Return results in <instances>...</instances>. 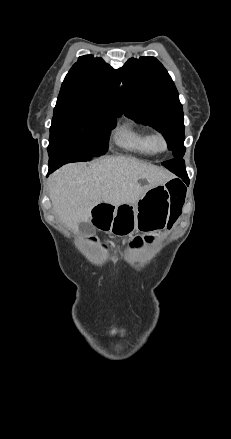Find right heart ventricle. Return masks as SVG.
<instances>
[{"label":"right heart ventricle","instance_id":"right-heart-ventricle-1","mask_svg":"<svg viewBox=\"0 0 231 439\" xmlns=\"http://www.w3.org/2000/svg\"><path fill=\"white\" fill-rule=\"evenodd\" d=\"M153 136V132L146 127L126 125L119 130L117 142L126 150L142 155H153L157 151Z\"/></svg>","mask_w":231,"mask_h":439}]
</instances>
